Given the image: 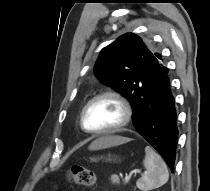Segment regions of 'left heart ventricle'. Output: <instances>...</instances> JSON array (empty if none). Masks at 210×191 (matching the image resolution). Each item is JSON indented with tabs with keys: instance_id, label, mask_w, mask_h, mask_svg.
I'll use <instances>...</instances> for the list:
<instances>
[{
	"instance_id": "obj_1",
	"label": "left heart ventricle",
	"mask_w": 210,
	"mask_h": 191,
	"mask_svg": "<svg viewBox=\"0 0 210 191\" xmlns=\"http://www.w3.org/2000/svg\"><path fill=\"white\" fill-rule=\"evenodd\" d=\"M123 117L120 104L111 98L94 102L86 112L85 124L91 130H99L118 124Z\"/></svg>"
}]
</instances>
